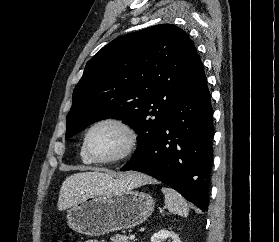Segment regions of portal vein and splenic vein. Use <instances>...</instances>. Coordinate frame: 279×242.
I'll list each match as a JSON object with an SVG mask.
<instances>
[{
    "instance_id": "1",
    "label": "portal vein and splenic vein",
    "mask_w": 279,
    "mask_h": 242,
    "mask_svg": "<svg viewBox=\"0 0 279 242\" xmlns=\"http://www.w3.org/2000/svg\"><path fill=\"white\" fill-rule=\"evenodd\" d=\"M130 239L134 240L135 239V235L134 234L130 235Z\"/></svg>"
}]
</instances>
